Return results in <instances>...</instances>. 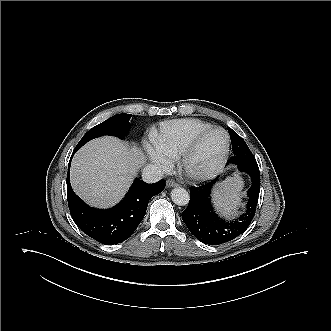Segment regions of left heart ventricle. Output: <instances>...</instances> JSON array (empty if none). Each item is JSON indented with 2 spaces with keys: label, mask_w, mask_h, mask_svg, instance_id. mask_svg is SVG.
<instances>
[{
  "label": "left heart ventricle",
  "mask_w": 331,
  "mask_h": 331,
  "mask_svg": "<svg viewBox=\"0 0 331 331\" xmlns=\"http://www.w3.org/2000/svg\"><path fill=\"white\" fill-rule=\"evenodd\" d=\"M225 146L224 135L215 131L208 134L188 162L192 171H202L213 166L221 157Z\"/></svg>",
  "instance_id": "b2bd125f"
}]
</instances>
